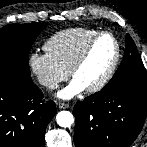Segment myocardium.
Segmentation results:
<instances>
[{"mask_svg":"<svg viewBox=\"0 0 147 147\" xmlns=\"http://www.w3.org/2000/svg\"><path fill=\"white\" fill-rule=\"evenodd\" d=\"M102 36H110L113 39L114 44H115V56H114V59L111 63L110 68L108 69V71L104 75V77L100 81H98L96 84L86 88V90L91 93L98 92V91L102 90L112 80V78L117 70V67H118L120 59H121V46H120V42L117 39V37L110 31H98L95 35H93L85 43V45L81 49L80 53L78 54L77 58L73 62L71 69H70V74L74 78L78 69L83 65V63L87 59L92 46Z\"/></svg>","mask_w":147,"mask_h":147,"instance_id":"1","label":"myocardium"}]
</instances>
